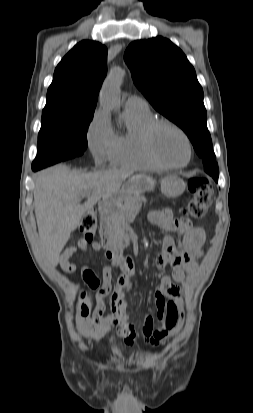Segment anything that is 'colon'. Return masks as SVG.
<instances>
[{
  "label": "colon",
  "instance_id": "5ec220e1",
  "mask_svg": "<svg viewBox=\"0 0 253 413\" xmlns=\"http://www.w3.org/2000/svg\"><path fill=\"white\" fill-rule=\"evenodd\" d=\"M188 189L192 198L188 202L184 214L186 217L200 219L205 216L212 196V187L208 179L204 177L192 178L188 182ZM188 220L187 218H184ZM97 215L94 211L88 212L81 220L79 231L83 234V240L90 243L97 229ZM95 289V287H91ZM91 298L83 292L79 304V314L83 317L88 316L91 310ZM163 322L161 327L154 333L157 340L161 341L176 326L178 321V310L173 301H165L164 310L161 312Z\"/></svg>",
  "mask_w": 253,
  "mask_h": 413
}]
</instances>
